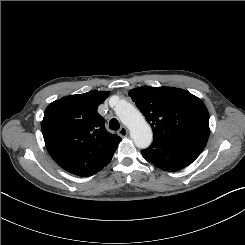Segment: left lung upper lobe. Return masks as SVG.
I'll list each match as a JSON object with an SVG mask.
<instances>
[{"label": "left lung upper lobe", "instance_id": "obj_1", "mask_svg": "<svg viewBox=\"0 0 245 245\" xmlns=\"http://www.w3.org/2000/svg\"><path fill=\"white\" fill-rule=\"evenodd\" d=\"M129 96L153 130V139L201 153L209 137V114L204 103L174 87L144 86Z\"/></svg>", "mask_w": 245, "mask_h": 245}]
</instances>
